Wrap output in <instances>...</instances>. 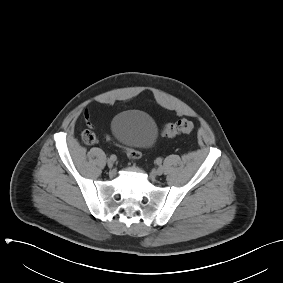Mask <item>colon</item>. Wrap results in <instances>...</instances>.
Masks as SVG:
<instances>
[{
	"label": "colon",
	"instance_id": "colon-1",
	"mask_svg": "<svg viewBox=\"0 0 283 283\" xmlns=\"http://www.w3.org/2000/svg\"><path fill=\"white\" fill-rule=\"evenodd\" d=\"M195 125L192 121L182 119L174 123H167L161 129V134L166 137H174L180 134H190L194 131ZM81 137L84 143L91 145L96 141V136L92 130H84L81 133ZM109 141H113L111 137L107 138ZM126 153L129 159L138 160L140 158V152L137 149L126 148Z\"/></svg>",
	"mask_w": 283,
	"mask_h": 283
}]
</instances>
